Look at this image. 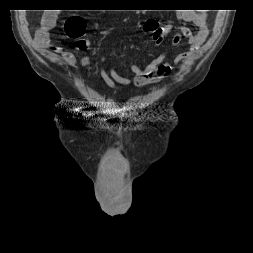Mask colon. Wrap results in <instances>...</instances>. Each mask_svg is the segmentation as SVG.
<instances>
[{
  "label": "colon",
  "instance_id": "colon-1",
  "mask_svg": "<svg viewBox=\"0 0 253 253\" xmlns=\"http://www.w3.org/2000/svg\"><path fill=\"white\" fill-rule=\"evenodd\" d=\"M85 29V20L78 16L69 18L65 23V31L67 35L71 38L77 39L76 45L79 49H84L87 46V42L82 39Z\"/></svg>",
  "mask_w": 253,
  "mask_h": 253
}]
</instances>
